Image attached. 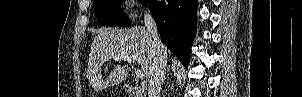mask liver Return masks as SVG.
Segmentation results:
<instances>
[{
    "label": "liver",
    "instance_id": "obj_1",
    "mask_svg": "<svg viewBox=\"0 0 302 97\" xmlns=\"http://www.w3.org/2000/svg\"><path fill=\"white\" fill-rule=\"evenodd\" d=\"M117 56L134 58L145 77L149 78L152 48L144 26L129 29L105 28L94 38L89 54L87 77L95 91L118 85L127 78V65H117L105 81L102 79V67Z\"/></svg>",
    "mask_w": 302,
    "mask_h": 97
}]
</instances>
